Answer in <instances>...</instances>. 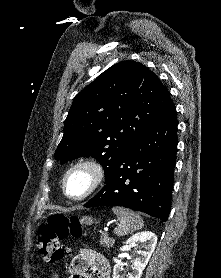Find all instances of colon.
I'll list each match as a JSON object with an SVG mask.
<instances>
[{
    "label": "colon",
    "mask_w": 221,
    "mask_h": 278,
    "mask_svg": "<svg viewBox=\"0 0 221 278\" xmlns=\"http://www.w3.org/2000/svg\"><path fill=\"white\" fill-rule=\"evenodd\" d=\"M82 234L83 227L77 217L51 215L46 222L40 225L37 239V246L44 261L50 265H56L67 253V249L61 241L68 237L78 238Z\"/></svg>",
    "instance_id": "5ec220e1"
}]
</instances>
